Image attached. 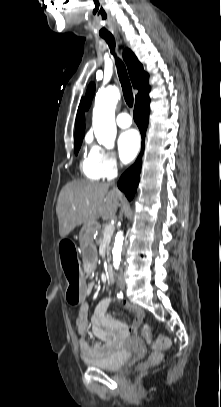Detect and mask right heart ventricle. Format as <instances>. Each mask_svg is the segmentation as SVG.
I'll return each mask as SVG.
<instances>
[{
    "label": "right heart ventricle",
    "mask_w": 221,
    "mask_h": 407,
    "mask_svg": "<svg viewBox=\"0 0 221 407\" xmlns=\"http://www.w3.org/2000/svg\"><path fill=\"white\" fill-rule=\"evenodd\" d=\"M81 169L85 176L89 179L99 180L102 178L101 175L95 169L90 155H88L86 158L82 160Z\"/></svg>",
    "instance_id": "right-heart-ventricle-1"
}]
</instances>
